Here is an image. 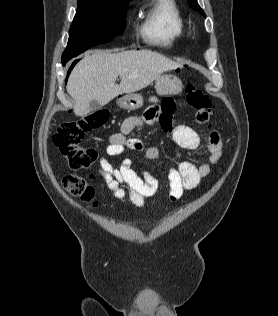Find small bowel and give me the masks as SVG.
Here are the masks:
<instances>
[{
	"mask_svg": "<svg viewBox=\"0 0 278 316\" xmlns=\"http://www.w3.org/2000/svg\"><path fill=\"white\" fill-rule=\"evenodd\" d=\"M151 104L142 117L130 116L123 120L120 132L110 136L105 148L107 156H117L126 150L143 151L147 160H155L160 151L157 146L146 147L140 137H132L135 130H142L145 124L161 122L169 130L173 140L183 150L194 151L200 148L201 139L198 133L187 125H171V117L175 109L174 101L165 98L159 104L156 98L150 99ZM208 159L199 163L180 160L176 167L168 170L169 199L179 200L187 190L196 188L202 179L211 172V166L219 162L223 152V142L220 134L213 130L209 133L205 144ZM99 169L105 181L107 190L118 200L124 202L127 191L121 185L125 184L130 200L136 207H143L144 200L153 197L158 190V180L149 172L137 173L132 161L125 158L118 166H114L106 157L98 159Z\"/></svg>",
	"mask_w": 278,
	"mask_h": 316,
	"instance_id": "small-bowel-1",
	"label": "small bowel"
}]
</instances>
